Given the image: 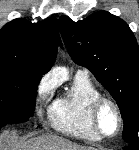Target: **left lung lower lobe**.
<instances>
[{"label": "left lung lower lobe", "mask_w": 139, "mask_h": 150, "mask_svg": "<svg viewBox=\"0 0 139 150\" xmlns=\"http://www.w3.org/2000/svg\"><path fill=\"white\" fill-rule=\"evenodd\" d=\"M139 147V141L128 143L127 146H125L124 150H138Z\"/></svg>", "instance_id": "0a47b994"}]
</instances>
